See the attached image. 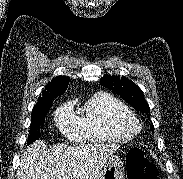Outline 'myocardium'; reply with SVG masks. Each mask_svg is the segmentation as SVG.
I'll return each mask as SVG.
<instances>
[{"label": "myocardium", "instance_id": "1", "mask_svg": "<svg viewBox=\"0 0 183 179\" xmlns=\"http://www.w3.org/2000/svg\"><path fill=\"white\" fill-rule=\"evenodd\" d=\"M121 125L124 129L133 134L137 133L141 128L139 118L132 112L122 118Z\"/></svg>", "mask_w": 183, "mask_h": 179}]
</instances>
